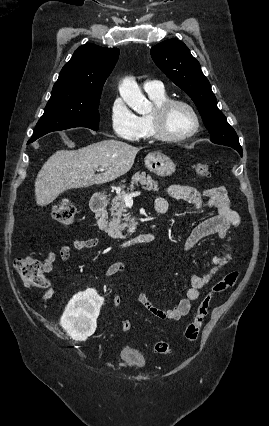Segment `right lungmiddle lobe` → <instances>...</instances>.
Listing matches in <instances>:
<instances>
[{"label":"right lung middle lobe","mask_w":269,"mask_h":426,"mask_svg":"<svg viewBox=\"0 0 269 426\" xmlns=\"http://www.w3.org/2000/svg\"><path fill=\"white\" fill-rule=\"evenodd\" d=\"M100 96L71 97L63 92L52 93L29 143L49 132L68 128L87 127L97 131Z\"/></svg>","instance_id":"right-lung-middle-lobe-1"}]
</instances>
